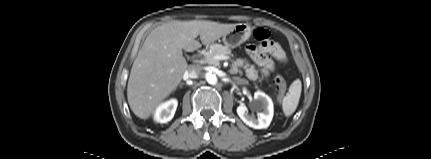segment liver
Masks as SVG:
<instances>
[{"label":"liver","mask_w":431,"mask_h":159,"mask_svg":"<svg viewBox=\"0 0 431 159\" xmlns=\"http://www.w3.org/2000/svg\"><path fill=\"white\" fill-rule=\"evenodd\" d=\"M236 24L214 21H170L153 29L132 65L127 99L133 113L148 119L180 84L188 64L182 49L192 52L218 40Z\"/></svg>","instance_id":"liver-1"}]
</instances>
